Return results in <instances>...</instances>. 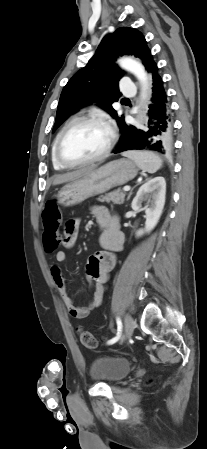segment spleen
Listing matches in <instances>:
<instances>
[{
  "instance_id": "1",
  "label": "spleen",
  "mask_w": 207,
  "mask_h": 449,
  "mask_svg": "<svg viewBox=\"0 0 207 449\" xmlns=\"http://www.w3.org/2000/svg\"><path fill=\"white\" fill-rule=\"evenodd\" d=\"M123 156L133 160L144 172L155 173L162 167V159L151 151H126Z\"/></svg>"
}]
</instances>
